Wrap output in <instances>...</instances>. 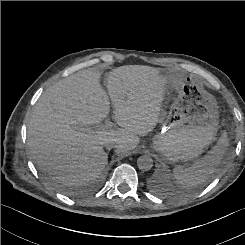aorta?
<instances>
[{
	"label": "aorta",
	"mask_w": 245,
	"mask_h": 245,
	"mask_svg": "<svg viewBox=\"0 0 245 245\" xmlns=\"http://www.w3.org/2000/svg\"><path fill=\"white\" fill-rule=\"evenodd\" d=\"M137 166L141 171H149L153 167V159L148 155H142L137 159Z\"/></svg>",
	"instance_id": "obj_1"
}]
</instances>
